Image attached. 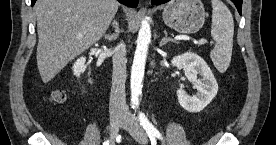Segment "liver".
I'll list each match as a JSON object with an SVG mask.
<instances>
[{
    "instance_id": "obj_1",
    "label": "liver",
    "mask_w": 276,
    "mask_h": 145,
    "mask_svg": "<svg viewBox=\"0 0 276 145\" xmlns=\"http://www.w3.org/2000/svg\"><path fill=\"white\" fill-rule=\"evenodd\" d=\"M118 5L116 0H37V66L43 83L100 40Z\"/></svg>"
}]
</instances>
